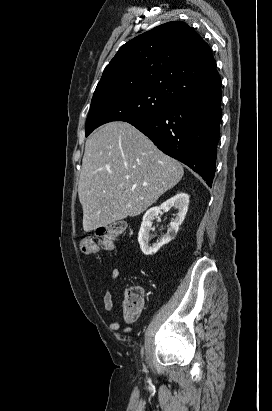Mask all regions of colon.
<instances>
[{
	"label": "colon",
	"instance_id": "1",
	"mask_svg": "<svg viewBox=\"0 0 272 411\" xmlns=\"http://www.w3.org/2000/svg\"><path fill=\"white\" fill-rule=\"evenodd\" d=\"M126 229L124 221H116L98 229L97 236L85 237L81 241V250L86 255H96L100 249L112 250L114 241ZM143 306V292L139 287L127 288L124 295V319L134 322L138 319Z\"/></svg>",
	"mask_w": 272,
	"mask_h": 411
}]
</instances>
